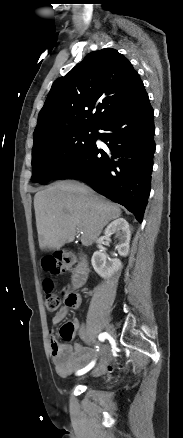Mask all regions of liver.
I'll list each match as a JSON object with an SVG mask.
<instances>
[{"label": "liver", "mask_w": 183, "mask_h": 438, "mask_svg": "<svg viewBox=\"0 0 183 438\" xmlns=\"http://www.w3.org/2000/svg\"><path fill=\"white\" fill-rule=\"evenodd\" d=\"M36 227L41 250H59L82 232L84 246L92 245L103 228L121 215L118 205L78 181H58L34 196Z\"/></svg>", "instance_id": "obj_1"}]
</instances>
